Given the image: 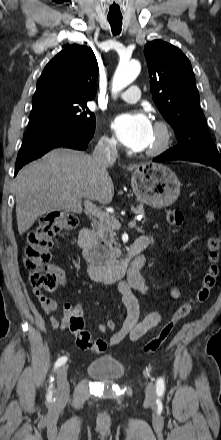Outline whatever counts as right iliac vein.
<instances>
[{"mask_svg":"<svg viewBox=\"0 0 221 440\" xmlns=\"http://www.w3.org/2000/svg\"><path fill=\"white\" fill-rule=\"evenodd\" d=\"M68 366L63 365L57 371V385L58 395L60 398L66 399L69 397V383L67 380Z\"/></svg>","mask_w":221,"mask_h":440,"instance_id":"obj_1","label":"right iliac vein"}]
</instances>
